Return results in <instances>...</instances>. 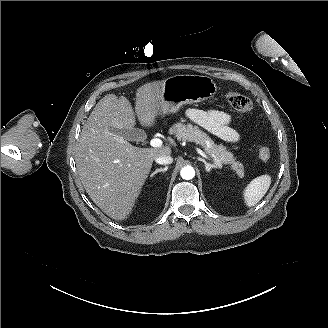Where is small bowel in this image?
Returning <instances> with one entry per match:
<instances>
[{"instance_id":"obj_1","label":"small bowel","mask_w":328,"mask_h":328,"mask_svg":"<svg viewBox=\"0 0 328 328\" xmlns=\"http://www.w3.org/2000/svg\"><path fill=\"white\" fill-rule=\"evenodd\" d=\"M186 116L224 141L237 142L240 139L239 132L230 125L232 116L227 112L216 109L190 108L186 111Z\"/></svg>"}]
</instances>
